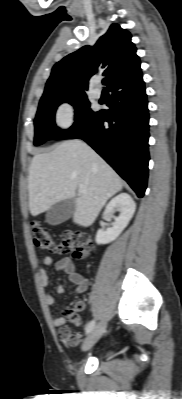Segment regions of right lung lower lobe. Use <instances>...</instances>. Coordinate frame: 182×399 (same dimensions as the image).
Listing matches in <instances>:
<instances>
[{
  "label": "right lung lower lobe",
  "mask_w": 182,
  "mask_h": 399,
  "mask_svg": "<svg viewBox=\"0 0 182 399\" xmlns=\"http://www.w3.org/2000/svg\"><path fill=\"white\" fill-rule=\"evenodd\" d=\"M109 110L95 112L83 129L62 139H84L143 197L148 178L149 114L142 73L109 87Z\"/></svg>",
  "instance_id": "right-lung-lower-lobe-1"
}]
</instances>
